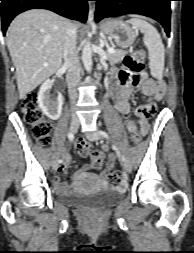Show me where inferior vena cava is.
Wrapping results in <instances>:
<instances>
[{
    "label": "inferior vena cava",
    "mask_w": 194,
    "mask_h": 253,
    "mask_svg": "<svg viewBox=\"0 0 194 253\" xmlns=\"http://www.w3.org/2000/svg\"><path fill=\"white\" fill-rule=\"evenodd\" d=\"M77 27L68 22L65 28L63 45L64 65L67 67L66 81L72 105V118L76 119L73 105L77 97L75 87L80 82L81 68L79 64L78 52L76 50Z\"/></svg>",
    "instance_id": "1"
}]
</instances>
